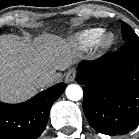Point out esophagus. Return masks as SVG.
Listing matches in <instances>:
<instances>
[{"instance_id": "1", "label": "esophagus", "mask_w": 139, "mask_h": 139, "mask_svg": "<svg viewBox=\"0 0 139 139\" xmlns=\"http://www.w3.org/2000/svg\"><path fill=\"white\" fill-rule=\"evenodd\" d=\"M76 77V70L75 69H69L66 73L65 80L66 82H73Z\"/></svg>"}]
</instances>
